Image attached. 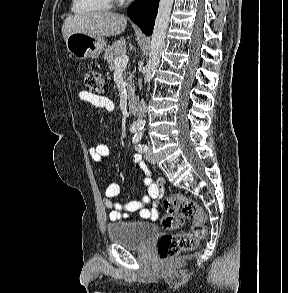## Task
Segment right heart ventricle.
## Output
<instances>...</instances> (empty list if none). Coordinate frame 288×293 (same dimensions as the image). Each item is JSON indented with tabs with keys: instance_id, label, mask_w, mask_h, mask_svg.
<instances>
[{
	"instance_id": "e07e8e85",
	"label": "right heart ventricle",
	"mask_w": 288,
	"mask_h": 293,
	"mask_svg": "<svg viewBox=\"0 0 288 293\" xmlns=\"http://www.w3.org/2000/svg\"><path fill=\"white\" fill-rule=\"evenodd\" d=\"M112 0H72L71 10L77 14L109 10Z\"/></svg>"
}]
</instances>
